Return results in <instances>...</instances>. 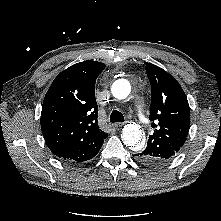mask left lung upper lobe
Masks as SVG:
<instances>
[{
  "mask_svg": "<svg viewBox=\"0 0 221 221\" xmlns=\"http://www.w3.org/2000/svg\"><path fill=\"white\" fill-rule=\"evenodd\" d=\"M145 64L152 91L150 119L154 132L145 150L136 156L143 163L158 165L172 158L184 144L189 131L190 107L172 75L154 64Z\"/></svg>",
  "mask_w": 221,
  "mask_h": 221,
  "instance_id": "1",
  "label": "left lung upper lobe"
}]
</instances>
